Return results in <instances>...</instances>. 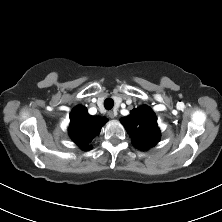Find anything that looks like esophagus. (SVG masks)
<instances>
[{
  "label": "esophagus",
  "instance_id": "34e87169",
  "mask_svg": "<svg viewBox=\"0 0 222 222\" xmlns=\"http://www.w3.org/2000/svg\"><path fill=\"white\" fill-rule=\"evenodd\" d=\"M108 116L110 117V118H115L116 117V114H115V112L114 111H109L108 112Z\"/></svg>",
  "mask_w": 222,
  "mask_h": 222
}]
</instances>
